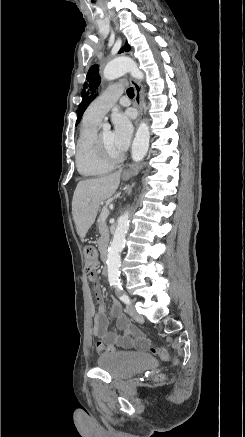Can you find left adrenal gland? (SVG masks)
Masks as SVG:
<instances>
[{"label": "left adrenal gland", "instance_id": "left-adrenal-gland-1", "mask_svg": "<svg viewBox=\"0 0 245 437\" xmlns=\"http://www.w3.org/2000/svg\"><path fill=\"white\" fill-rule=\"evenodd\" d=\"M132 187H133V186H132ZM131 190H132V188H130V189H129V191H128V194H130V193H131Z\"/></svg>", "mask_w": 245, "mask_h": 437}]
</instances>
